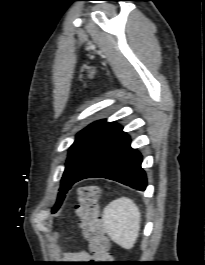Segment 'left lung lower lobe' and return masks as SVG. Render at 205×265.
<instances>
[{
	"instance_id": "0a47b994",
	"label": "left lung lower lobe",
	"mask_w": 205,
	"mask_h": 265,
	"mask_svg": "<svg viewBox=\"0 0 205 265\" xmlns=\"http://www.w3.org/2000/svg\"><path fill=\"white\" fill-rule=\"evenodd\" d=\"M130 142V137L122 132L81 171L73 184L82 179L101 177L144 191L147 179L141 168L142 156L131 148Z\"/></svg>"
}]
</instances>
